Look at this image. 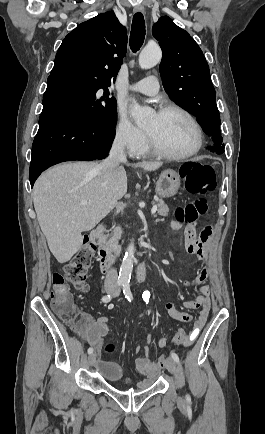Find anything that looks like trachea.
Listing matches in <instances>:
<instances>
[{
    "mask_svg": "<svg viewBox=\"0 0 265 434\" xmlns=\"http://www.w3.org/2000/svg\"><path fill=\"white\" fill-rule=\"evenodd\" d=\"M145 38V21L142 13H135L132 21L130 33V48L133 52H137L144 42Z\"/></svg>",
    "mask_w": 265,
    "mask_h": 434,
    "instance_id": "trachea-1",
    "label": "trachea"
}]
</instances>
